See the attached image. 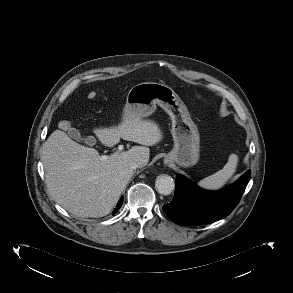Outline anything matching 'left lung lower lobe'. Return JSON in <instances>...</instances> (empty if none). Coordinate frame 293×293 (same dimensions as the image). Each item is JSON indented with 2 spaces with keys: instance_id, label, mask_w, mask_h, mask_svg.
<instances>
[{
  "instance_id": "left-lung-lower-lobe-1",
  "label": "left lung lower lobe",
  "mask_w": 293,
  "mask_h": 293,
  "mask_svg": "<svg viewBox=\"0 0 293 293\" xmlns=\"http://www.w3.org/2000/svg\"><path fill=\"white\" fill-rule=\"evenodd\" d=\"M250 175L248 170L237 182L215 192L202 190L178 175L173 200L163 206V211L179 225H203L220 220L236 207Z\"/></svg>"
}]
</instances>
